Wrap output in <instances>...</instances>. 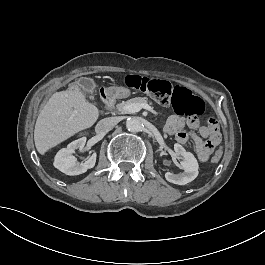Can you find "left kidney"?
Listing matches in <instances>:
<instances>
[{"label":"left kidney","instance_id":"left-kidney-1","mask_svg":"<svg viewBox=\"0 0 265 265\" xmlns=\"http://www.w3.org/2000/svg\"><path fill=\"white\" fill-rule=\"evenodd\" d=\"M174 151L177 155H181L184 158L181 162L184 172L180 174L167 172L165 178L171 183L185 185L198 176V162L192 153L187 152L183 146L178 143L174 144Z\"/></svg>","mask_w":265,"mask_h":265}]
</instances>
